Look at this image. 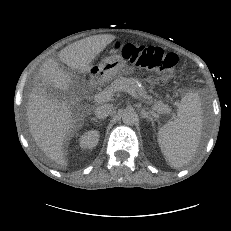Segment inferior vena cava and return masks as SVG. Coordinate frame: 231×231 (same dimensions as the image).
<instances>
[{
  "instance_id": "602c4592",
  "label": "inferior vena cava",
  "mask_w": 231,
  "mask_h": 231,
  "mask_svg": "<svg viewBox=\"0 0 231 231\" xmlns=\"http://www.w3.org/2000/svg\"><path fill=\"white\" fill-rule=\"evenodd\" d=\"M112 111V105L111 104H103L98 106L94 113L95 116L99 119H104L106 118Z\"/></svg>"
}]
</instances>
